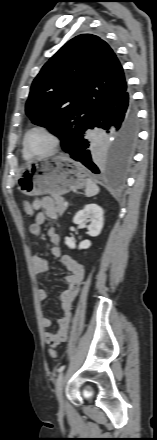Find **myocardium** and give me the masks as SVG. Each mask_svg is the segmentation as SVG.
<instances>
[{"instance_id": "1", "label": "myocardium", "mask_w": 157, "mask_h": 440, "mask_svg": "<svg viewBox=\"0 0 157 440\" xmlns=\"http://www.w3.org/2000/svg\"><path fill=\"white\" fill-rule=\"evenodd\" d=\"M34 131H42L51 138L52 145H51L50 150L47 153L40 154V155H34L29 152L28 147H27V139H28L29 134ZM22 145H23L24 152L29 157H44V156H49V155L56 153L58 151V149L60 148L61 140H60V137L57 134V132L55 130H53L51 127L43 125V124H39V125H35V126L31 127L30 129H28L26 131V133L24 134V137H23Z\"/></svg>"}]
</instances>
